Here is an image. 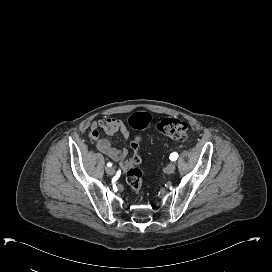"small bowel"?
<instances>
[{
	"label": "small bowel",
	"instance_id": "c3829d8e",
	"mask_svg": "<svg viewBox=\"0 0 272 272\" xmlns=\"http://www.w3.org/2000/svg\"><path fill=\"white\" fill-rule=\"evenodd\" d=\"M99 129L108 135L120 132L123 137L128 138L130 132L122 120L113 117H104L94 121L91 124L89 138L95 143L96 148L100 152L113 161L118 162L122 171H126L127 168L140 164L139 143L130 145V151L126 149L119 150L108 139L99 136Z\"/></svg>",
	"mask_w": 272,
	"mask_h": 272
}]
</instances>
